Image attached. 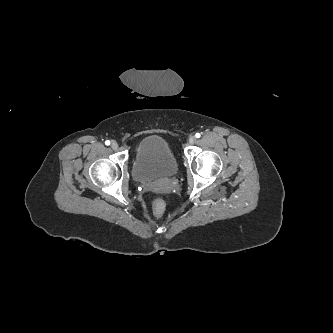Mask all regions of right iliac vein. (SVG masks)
Instances as JSON below:
<instances>
[{
    "label": "right iliac vein",
    "instance_id": "63e3f726",
    "mask_svg": "<svg viewBox=\"0 0 333 333\" xmlns=\"http://www.w3.org/2000/svg\"><path fill=\"white\" fill-rule=\"evenodd\" d=\"M111 147H112V149H117L118 148V143L116 141H112Z\"/></svg>",
    "mask_w": 333,
    "mask_h": 333
}]
</instances>
